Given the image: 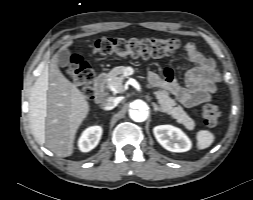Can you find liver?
Listing matches in <instances>:
<instances>
[{"mask_svg":"<svg viewBox=\"0 0 253 200\" xmlns=\"http://www.w3.org/2000/svg\"><path fill=\"white\" fill-rule=\"evenodd\" d=\"M72 42L68 41L61 51ZM57 63L58 58L54 56L35 84L32 116L42 143L56 154L68 156L76 129L86 117L89 105L85 96L59 71Z\"/></svg>","mask_w":253,"mask_h":200,"instance_id":"liver-1","label":"liver"}]
</instances>
